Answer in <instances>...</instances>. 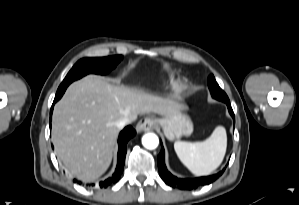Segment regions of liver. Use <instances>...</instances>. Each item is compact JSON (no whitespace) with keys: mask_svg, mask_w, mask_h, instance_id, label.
<instances>
[{"mask_svg":"<svg viewBox=\"0 0 299 205\" xmlns=\"http://www.w3.org/2000/svg\"><path fill=\"white\" fill-rule=\"evenodd\" d=\"M181 105L90 74L72 83L57 102L52 117V141L66 170L82 181L100 177L109 167L119 133L116 122L138 114L170 116Z\"/></svg>","mask_w":299,"mask_h":205,"instance_id":"obj_1","label":"liver"}]
</instances>
